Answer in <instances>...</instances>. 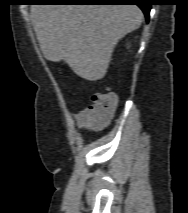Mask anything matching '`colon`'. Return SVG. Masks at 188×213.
I'll return each mask as SVG.
<instances>
[{"label":"colon","mask_w":188,"mask_h":213,"mask_svg":"<svg viewBox=\"0 0 188 213\" xmlns=\"http://www.w3.org/2000/svg\"><path fill=\"white\" fill-rule=\"evenodd\" d=\"M117 105V96L111 92H100L92 95L88 116L94 124L102 123L113 114Z\"/></svg>","instance_id":"colon-1"}]
</instances>
